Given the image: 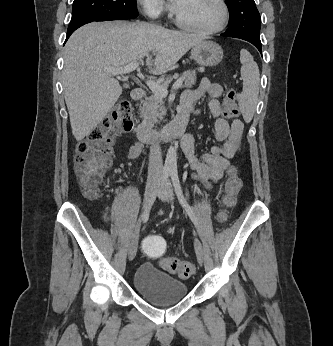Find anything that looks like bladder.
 <instances>
[{
  "mask_svg": "<svg viewBox=\"0 0 333 346\" xmlns=\"http://www.w3.org/2000/svg\"><path fill=\"white\" fill-rule=\"evenodd\" d=\"M133 286L144 299L157 305L179 302L188 292L186 283L151 263H143L138 267L133 278Z\"/></svg>",
  "mask_w": 333,
  "mask_h": 346,
  "instance_id": "1",
  "label": "bladder"
}]
</instances>
